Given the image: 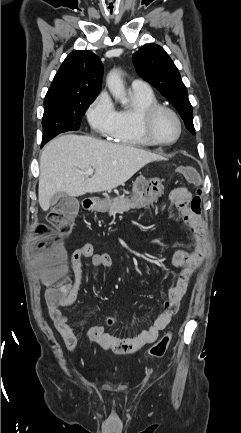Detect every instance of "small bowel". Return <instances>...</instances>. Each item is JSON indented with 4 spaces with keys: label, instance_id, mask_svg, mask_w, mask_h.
Masks as SVG:
<instances>
[{
    "label": "small bowel",
    "instance_id": "c3829d8e",
    "mask_svg": "<svg viewBox=\"0 0 241 433\" xmlns=\"http://www.w3.org/2000/svg\"><path fill=\"white\" fill-rule=\"evenodd\" d=\"M194 197L191 192L183 187L176 188L170 195V201L175 205L184 222L190 227L194 245L193 248L186 251H176L171 259L174 267L181 268L180 276L188 278L200 267L207 252V243L205 236V225L199 212L192 210V201ZM164 204H160L162 209ZM201 210V208H200ZM90 258L91 264L95 268L108 269L112 266V260L107 254H96L93 252V246L89 243L83 244L77 248L70 256L71 269L75 276V284L69 292V296L60 301L57 305L48 307L50 317L54 322L55 328L67 348L74 351L77 347L78 338L72 329L68 318L64 315L62 308L72 305L77 297V293L83 277L82 259ZM179 276V277H180ZM187 287L181 289L178 282L169 288L168 299L163 304V312L159 314L151 325L141 330L135 335L129 337H117L107 333L103 326H89L85 329L84 335L87 339L96 342L105 350L117 353L132 354L141 350L146 344L154 342L161 330H163L177 313L182 298ZM124 342L126 347L117 351L110 346V342Z\"/></svg>",
    "mask_w": 241,
    "mask_h": 433
}]
</instances>
